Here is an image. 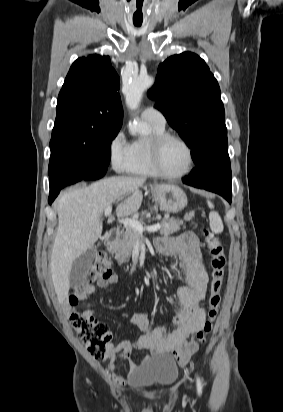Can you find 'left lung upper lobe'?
I'll return each mask as SVG.
<instances>
[{"mask_svg": "<svg viewBox=\"0 0 283 412\" xmlns=\"http://www.w3.org/2000/svg\"><path fill=\"white\" fill-rule=\"evenodd\" d=\"M149 97L192 148L195 163L216 150L228 155L224 106L217 80L205 61L191 52L169 57L159 66Z\"/></svg>", "mask_w": 283, "mask_h": 412, "instance_id": "left-lung-upper-lobe-1", "label": "left lung upper lobe"}]
</instances>
